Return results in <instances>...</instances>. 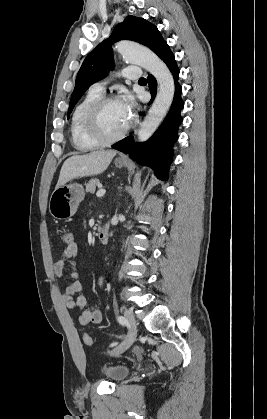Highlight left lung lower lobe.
Wrapping results in <instances>:
<instances>
[{"label": "left lung lower lobe", "instance_id": "left-lung-lower-lobe-1", "mask_svg": "<svg viewBox=\"0 0 267 419\" xmlns=\"http://www.w3.org/2000/svg\"><path fill=\"white\" fill-rule=\"evenodd\" d=\"M158 56L168 66L175 82L174 100L168 115L147 142L138 144L134 142L132 136H128L112 147L129 154L137 163L153 168L154 174L159 179L167 180L169 166L173 157V145L178 139L177 131L182 123L180 112L184 107V102L181 99L182 87L178 83L179 69L174 54L167 44ZM147 80L152 95L150 103H152L156 96L157 81L152 75H149Z\"/></svg>", "mask_w": 267, "mask_h": 419}]
</instances>
